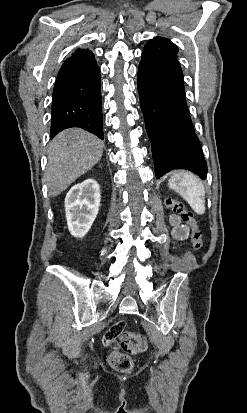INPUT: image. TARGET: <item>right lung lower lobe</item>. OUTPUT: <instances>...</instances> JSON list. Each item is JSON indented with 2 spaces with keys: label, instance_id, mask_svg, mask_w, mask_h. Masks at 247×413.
<instances>
[{
  "label": "right lung lower lobe",
  "instance_id": "98d812e1",
  "mask_svg": "<svg viewBox=\"0 0 247 413\" xmlns=\"http://www.w3.org/2000/svg\"><path fill=\"white\" fill-rule=\"evenodd\" d=\"M51 117V139L69 127L83 128L104 139L96 61L62 65L53 90Z\"/></svg>",
  "mask_w": 247,
  "mask_h": 413
}]
</instances>
